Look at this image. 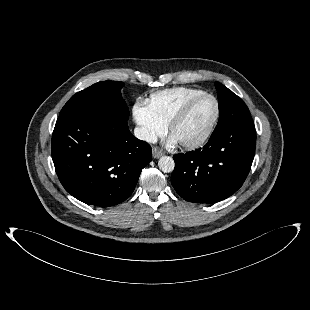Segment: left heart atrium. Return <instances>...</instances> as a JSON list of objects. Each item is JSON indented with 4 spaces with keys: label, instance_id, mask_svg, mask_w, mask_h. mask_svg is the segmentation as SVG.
Listing matches in <instances>:
<instances>
[{
    "label": "left heart atrium",
    "instance_id": "left-heart-atrium-1",
    "mask_svg": "<svg viewBox=\"0 0 310 310\" xmlns=\"http://www.w3.org/2000/svg\"><path fill=\"white\" fill-rule=\"evenodd\" d=\"M170 142L171 143L177 142L176 138L173 135L170 137Z\"/></svg>",
    "mask_w": 310,
    "mask_h": 310
}]
</instances>
